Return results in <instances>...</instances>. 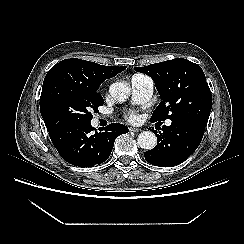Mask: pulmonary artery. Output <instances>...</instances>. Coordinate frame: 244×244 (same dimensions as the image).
Instances as JSON below:
<instances>
[{"label":"pulmonary artery","instance_id":"1","mask_svg":"<svg viewBox=\"0 0 244 244\" xmlns=\"http://www.w3.org/2000/svg\"><path fill=\"white\" fill-rule=\"evenodd\" d=\"M154 81L145 75L137 74L131 79L132 100L134 103H144L152 95ZM166 125H171V120L166 121Z\"/></svg>","mask_w":244,"mask_h":244}]
</instances>
